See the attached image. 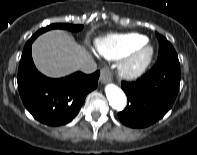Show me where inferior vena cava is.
<instances>
[{
    "mask_svg": "<svg viewBox=\"0 0 197 155\" xmlns=\"http://www.w3.org/2000/svg\"><path fill=\"white\" fill-rule=\"evenodd\" d=\"M96 70H97V65L93 60H89L83 63L81 66V71L86 74L94 73Z\"/></svg>",
    "mask_w": 197,
    "mask_h": 155,
    "instance_id": "1",
    "label": "inferior vena cava"
}]
</instances>
